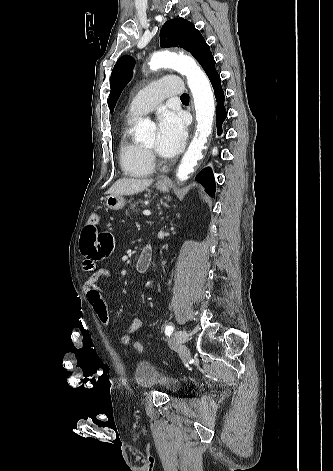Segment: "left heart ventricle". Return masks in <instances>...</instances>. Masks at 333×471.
Wrapping results in <instances>:
<instances>
[{
    "mask_svg": "<svg viewBox=\"0 0 333 471\" xmlns=\"http://www.w3.org/2000/svg\"><path fill=\"white\" fill-rule=\"evenodd\" d=\"M157 143V137L154 135L151 140L146 144L149 148H155Z\"/></svg>",
    "mask_w": 333,
    "mask_h": 471,
    "instance_id": "obj_1",
    "label": "left heart ventricle"
}]
</instances>
